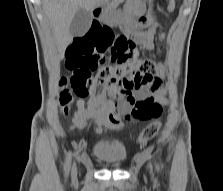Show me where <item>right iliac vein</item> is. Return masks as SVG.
Here are the masks:
<instances>
[{"mask_svg":"<svg viewBox=\"0 0 223 191\" xmlns=\"http://www.w3.org/2000/svg\"><path fill=\"white\" fill-rule=\"evenodd\" d=\"M76 171H77L76 165L73 164V166H72V175H73V176L76 175Z\"/></svg>","mask_w":223,"mask_h":191,"instance_id":"obj_1","label":"right iliac vein"}]
</instances>
